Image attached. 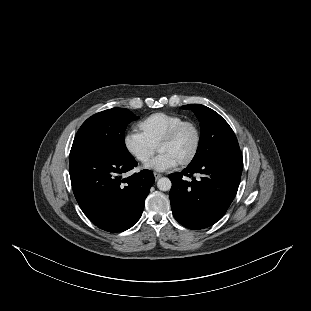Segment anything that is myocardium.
Listing matches in <instances>:
<instances>
[{
	"label": "myocardium",
	"mask_w": 311,
	"mask_h": 311,
	"mask_svg": "<svg viewBox=\"0 0 311 311\" xmlns=\"http://www.w3.org/2000/svg\"><path fill=\"white\" fill-rule=\"evenodd\" d=\"M188 124H193L195 126L197 130V142L193 153L187 159H185L180 163L182 167H187L191 165L198 158L202 149L204 133L203 128L197 119L185 118L181 120L179 123H177L174 127L171 128V130L159 141L157 145L158 150L159 147H161L162 145H166L175 141V139L180 134L181 130Z\"/></svg>",
	"instance_id": "obj_1"
}]
</instances>
